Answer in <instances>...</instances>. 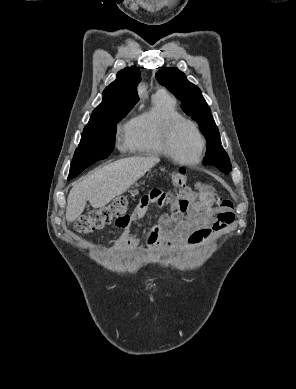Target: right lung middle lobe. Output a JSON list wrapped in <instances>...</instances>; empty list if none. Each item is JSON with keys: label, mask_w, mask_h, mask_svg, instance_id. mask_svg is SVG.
<instances>
[{"label": "right lung middle lobe", "mask_w": 296, "mask_h": 389, "mask_svg": "<svg viewBox=\"0 0 296 389\" xmlns=\"http://www.w3.org/2000/svg\"><path fill=\"white\" fill-rule=\"evenodd\" d=\"M131 108L115 109L103 116L89 120L84 127L70 170L83 166L88 167L110 155L114 149L116 124L128 114Z\"/></svg>", "instance_id": "right-lung-middle-lobe-1"}]
</instances>
